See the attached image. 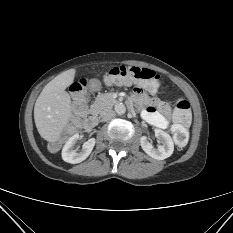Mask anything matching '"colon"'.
Segmentation results:
<instances>
[{"label":"colon","mask_w":233,"mask_h":233,"mask_svg":"<svg viewBox=\"0 0 233 233\" xmlns=\"http://www.w3.org/2000/svg\"><path fill=\"white\" fill-rule=\"evenodd\" d=\"M108 84L130 85L137 84L141 89L157 93L160 87V78L152 70L135 66H115L105 75ZM73 98V116L66 131V135L74 134L80 127L83 117H87L86 100L88 96L87 82L81 80L71 88ZM173 139L178 148L188 143L189 133L186 126L190 123V104L184 99H178L173 112Z\"/></svg>","instance_id":"1"}]
</instances>
